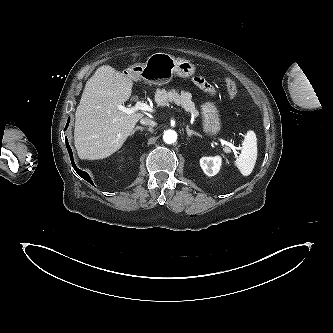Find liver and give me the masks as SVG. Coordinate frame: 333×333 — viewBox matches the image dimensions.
Listing matches in <instances>:
<instances>
[{
	"label": "liver",
	"mask_w": 333,
	"mask_h": 333,
	"mask_svg": "<svg viewBox=\"0 0 333 333\" xmlns=\"http://www.w3.org/2000/svg\"><path fill=\"white\" fill-rule=\"evenodd\" d=\"M132 87L128 74L109 65L99 67L86 82L75 113L74 140L81 159H103L119 150L144 116L117 107L130 98Z\"/></svg>",
	"instance_id": "1"
}]
</instances>
